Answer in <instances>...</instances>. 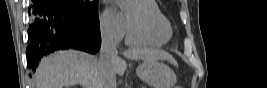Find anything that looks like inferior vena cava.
<instances>
[{
    "mask_svg": "<svg viewBox=\"0 0 267 88\" xmlns=\"http://www.w3.org/2000/svg\"><path fill=\"white\" fill-rule=\"evenodd\" d=\"M118 51L111 29L101 28V47L99 56L98 83L94 88H116V73L114 62Z\"/></svg>",
    "mask_w": 267,
    "mask_h": 88,
    "instance_id": "1",
    "label": "inferior vena cava"
}]
</instances>
